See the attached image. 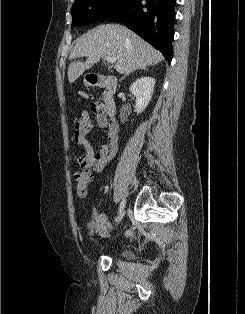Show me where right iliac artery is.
Segmentation results:
<instances>
[{"mask_svg": "<svg viewBox=\"0 0 245 314\" xmlns=\"http://www.w3.org/2000/svg\"><path fill=\"white\" fill-rule=\"evenodd\" d=\"M125 207V201L123 200L120 204V207L118 209V212L121 211Z\"/></svg>", "mask_w": 245, "mask_h": 314, "instance_id": "right-iliac-artery-1", "label": "right iliac artery"}]
</instances>
